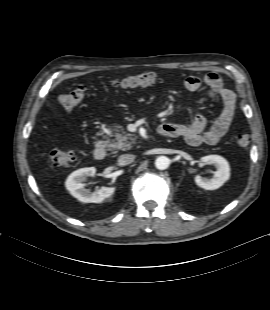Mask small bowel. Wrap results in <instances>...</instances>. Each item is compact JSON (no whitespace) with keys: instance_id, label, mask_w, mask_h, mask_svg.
<instances>
[{"instance_id":"c3829d8e","label":"small bowel","mask_w":270,"mask_h":310,"mask_svg":"<svg viewBox=\"0 0 270 310\" xmlns=\"http://www.w3.org/2000/svg\"><path fill=\"white\" fill-rule=\"evenodd\" d=\"M188 91H197L203 85L209 89L210 97H220L222 111L206 128V119L202 114H197L190 124L165 123L161 126V132L168 137H181L191 146L201 144L215 145L228 132L234 118L236 109V97L232 90L225 87L222 78L216 72H209L203 78L188 76L183 81Z\"/></svg>"}]
</instances>
